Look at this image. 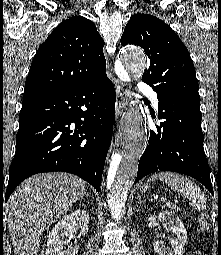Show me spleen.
<instances>
[{
    "mask_svg": "<svg viewBox=\"0 0 221 255\" xmlns=\"http://www.w3.org/2000/svg\"><path fill=\"white\" fill-rule=\"evenodd\" d=\"M161 180L168 184L174 191L179 192L181 196L191 200L192 206L197 210L206 208V196L201 189L188 178L173 172H160L152 175L149 181Z\"/></svg>",
    "mask_w": 221,
    "mask_h": 255,
    "instance_id": "1",
    "label": "spleen"
}]
</instances>
